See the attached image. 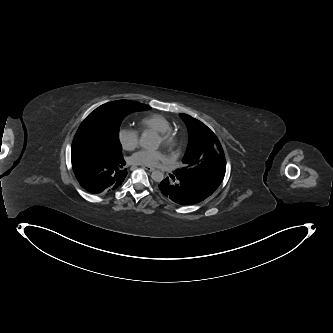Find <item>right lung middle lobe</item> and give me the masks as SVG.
Segmentation results:
<instances>
[{"mask_svg":"<svg viewBox=\"0 0 333 333\" xmlns=\"http://www.w3.org/2000/svg\"><path fill=\"white\" fill-rule=\"evenodd\" d=\"M135 111H139V106L129 100H118L101 105L81 123L72 147L93 150L108 159L120 158L122 148L119 141V128L123 118Z\"/></svg>","mask_w":333,"mask_h":333,"instance_id":"obj_1","label":"right lung middle lobe"}]
</instances>
